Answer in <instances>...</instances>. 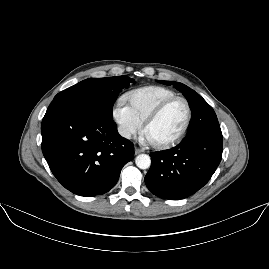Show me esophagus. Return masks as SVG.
Listing matches in <instances>:
<instances>
[{
    "mask_svg": "<svg viewBox=\"0 0 269 269\" xmlns=\"http://www.w3.org/2000/svg\"><path fill=\"white\" fill-rule=\"evenodd\" d=\"M141 152H143L142 149H140V148H138V147H135V154H139V153H141Z\"/></svg>",
    "mask_w": 269,
    "mask_h": 269,
    "instance_id": "34e87169",
    "label": "esophagus"
}]
</instances>
